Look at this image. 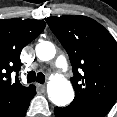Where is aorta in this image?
I'll list each match as a JSON object with an SVG mask.
<instances>
[{
  "label": "aorta",
  "mask_w": 117,
  "mask_h": 117,
  "mask_svg": "<svg viewBox=\"0 0 117 117\" xmlns=\"http://www.w3.org/2000/svg\"><path fill=\"white\" fill-rule=\"evenodd\" d=\"M56 53L55 46L49 41H42L36 46V55L42 61L54 58ZM49 99L56 106H66L74 98L73 87L63 75L52 76L47 84Z\"/></svg>",
  "instance_id": "1"
}]
</instances>
